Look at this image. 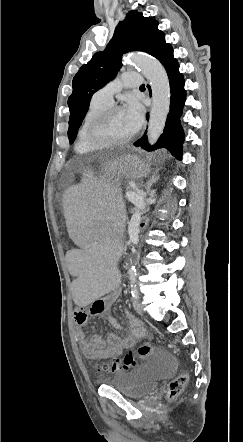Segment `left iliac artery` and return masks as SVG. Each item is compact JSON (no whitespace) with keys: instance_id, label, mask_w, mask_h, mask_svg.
I'll return each mask as SVG.
<instances>
[{"instance_id":"obj_1","label":"left iliac artery","mask_w":243,"mask_h":442,"mask_svg":"<svg viewBox=\"0 0 243 442\" xmlns=\"http://www.w3.org/2000/svg\"><path fill=\"white\" fill-rule=\"evenodd\" d=\"M129 275H130V279H131L132 282L134 283V279H135V276H136V272H135V270H134V271H130V272H129ZM131 286H132V291H131V293H132V297H133L134 299H137V298H138V290H137V287H136L135 284H132Z\"/></svg>"}]
</instances>
